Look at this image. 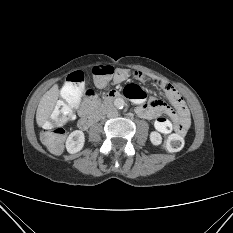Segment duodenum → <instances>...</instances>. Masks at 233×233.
Segmentation results:
<instances>
[{"mask_svg": "<svg viewBox=\"0 0 233 233\" xmlns=\"http://www.w3.org/2000/svg\"><path fill=\"white\" fill-rule=\"evenodd\" d=\"M122 94L118 91H112L106 95L103 100L101 107L92 115L82 117L79 120V127L82 130H87L90 128L101 115L110 107V105L117 99L121 98Z\"/></svg>", "mask_w": 233, "mask_h": 233, "instance_id": "410a0bca", "label": "duodenum"}]
</instances>
